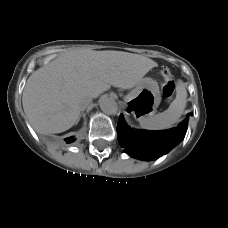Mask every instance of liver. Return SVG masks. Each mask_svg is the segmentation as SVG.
Returning <instances> with one entry per match:
<instances>
[{
	"label": "liver",
	"instance_id": "1",
	"mask_svg": "<svg viewBox=\"0 0 228 228\" xmlns=\"http://www.w3.org/2000/svg\"><path fill=\"white\" fill-rule=\"evenodd\" d=\"M157 63L122 51L77 50L64 53L28 78L22 105L38 133H61L78 120V100L97 98L111 86L135 87Z\"/></svg>",
	"mask_w": 228,
	"mask_h": 228
}]
</instances>
